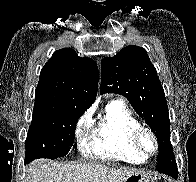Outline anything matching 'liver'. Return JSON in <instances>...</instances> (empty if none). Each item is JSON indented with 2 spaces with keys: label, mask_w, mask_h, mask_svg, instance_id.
Returning <instances> with one entry per match:
<instances>
[{
  "label": "liver",
  "mask_w": 196,
  "mask_h": 182,
  "mask_svg": "<svg viewBox=\"0 0 196 182\" xmlns=\"http://www.w3.org/2000/svg\"><path fill=\"white\" fill-rule=\"evenodd\" d=\"M136 172L97 163L67 164L41 159L28 166L24 182H125Z\"/></svg>",
  "instance_id": "1"
}]
</instances>
